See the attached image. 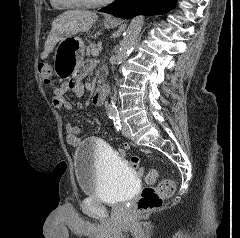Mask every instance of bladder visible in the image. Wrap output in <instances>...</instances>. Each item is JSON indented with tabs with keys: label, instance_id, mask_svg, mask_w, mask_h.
I'll return each mask as SVG.
<instances>
[{
	"label": "bladder",
	"instance_id": "31cf9c89",
	"mask_svg": "<svg viewBox=\"0 0 240 238\" xmlns=\"http://www.w3.org/2000/svg\"><path fill=\"white\" fill-rule=\"evenodd\" d=\"M75 176L80 192L107 204H121L129 200L137 189L133 168L111 147L86 139L73 157Z\"/></svg>",
	"mask_w": 240,
	"mask_h": 238
}]
</instances>
